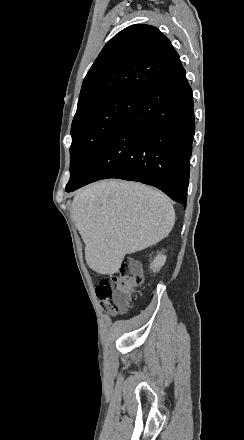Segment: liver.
Segmentation results:
<instances>
[{"label": "liver", "instance_id": "obj_1", "mask_svg": "<svg viewBox=\"0 0 244 440\" xmlns=\"http://www.w3.org/2000/svg\"><path fill=\"white\" fill-rule=\"evenodd\" d=\"M72 216L89 268L106 276L119 272L126 254L161 242L175 222L165 194L124 180H102L79 190Z\"/></svg>", "mask_w": 244, "mask_h": 440}]
</instances>
